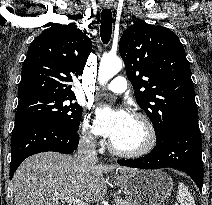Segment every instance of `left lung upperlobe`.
Listing matches in <instances>:
<instances>
[{"label": "left lung upper lobe", "mask_w": 212, "mask_h": 205, "mask_svg": "<svg viewBox=\"0 0 212 205\" xmlns=\"http://www.w3.org/2000/svg\"><path fill=\"white\" fill-rule=\"evenodd\" d=\"M119 52L136 101L153 123L156 141H162L180 118L198 114L190 65L170 29L135 23L124 31Z\"/></svg>", "instance_id": "5c2ea615"}]
</instances>
